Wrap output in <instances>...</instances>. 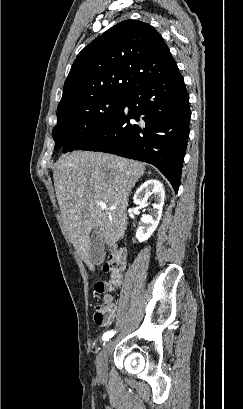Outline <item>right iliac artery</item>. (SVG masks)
I'll use <instances>...</instances> for the list:
<instances>
[{"instance_id": "82829eb1", "label": "right iliac artery", "mask_w": 243, "mask_h": 409, "mask_svg": "<svg viewBox=\"0 0 243 409\" xmlns=\"http://www.w3.org/2000/svg\"><path fill=\"white\" fill-rule=\"evenodd\" d=\"M114 334H115V331H113V330L107 331V332L103 335V340H104V341L109 340V338H111Z\"/></svg>"}]
</instances>
